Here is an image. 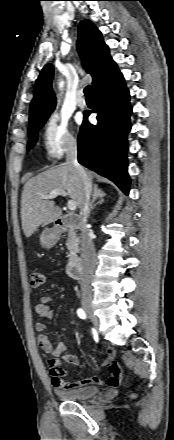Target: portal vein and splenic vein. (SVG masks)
<instances>
[{
	"label": "portal vein and splenic vein",
	"mask_w": 174,
	"mask_h": 440,
	"mask_svg": "<svg viewBox=\"0 0 174 440\" xmlns=\"http://www.w3.org/2000/svg\"><path fill=\"white\" fill-rule=\"evenodd\" d=\"M57 196H63V197H66V196H67V193H66V191H64V190L57 189V190L52 191V192H51L50 194H48V195H42L41 198H42V199H47V200H48V199H53V198H55V197H57ZM67 207H68V209H69L70 211H75L76 208H77V204H76V202H75L74 200H68Z\"/></svg>",
	"instance_id": "1"
}]
</instances>
